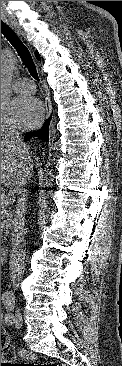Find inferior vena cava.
Masks as SVG:
<instances>
[{
    "mask_svg": "<svg viewBox=\"0 0 122 366\" xmlns=\"http://www.w3.org/2000/svg\"><path fill=\"white\" fill-rule=\"evenodd\" d=\"M5 138L8 144L15 146L19 152L22 153L23 159L26 160L29 154V147L22 141L20 133L17 130L5 131ZM27 180L24 179L19 185L15 187V192L18 195L14 218L11 220V252H10V278L13 282V287L19 286L21 278L23 263L25 259V214L26 201L28 190L25 188Z\"/></svg>",
    "mask_w": 122,
    "mask_h": 366,
    "instance_id": "1",
    "label": "inferior vena cava"
}]
</instances>
